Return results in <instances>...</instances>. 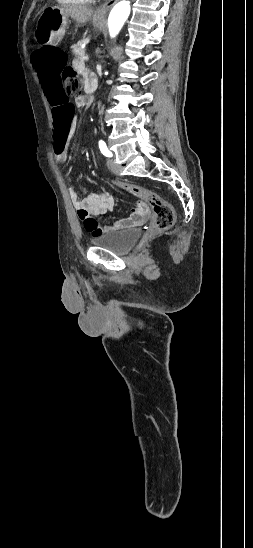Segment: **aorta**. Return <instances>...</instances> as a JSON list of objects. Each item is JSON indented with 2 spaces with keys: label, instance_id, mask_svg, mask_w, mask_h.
I'll list each match as a JSON object with an SVG mask.
<instances>
[{
  "label": "aorta",
  "instance_id": "obj_1",
  "mask_svg": "<svg viewBox=\"0 0 253 548\" xmlns=\"http://www.w3.org/2000/svg\"><path fill=\"white\" fill-rule=\"evenodd\" d=\"M130 11V2L126 0L118 2L113 7L108 17L109 34L112 38L118 35L125 21L129 17Z\"/></svg>",
  "mask_w": 253,
  "mask_h": 548
}]
</instances>
